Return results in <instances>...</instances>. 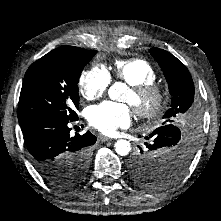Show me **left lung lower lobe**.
I'll use <instances>...</instances> for the list:
<instances>
[{"label": "left lung lower lobe", "mask_w": 221, "mask_h": 221, "mask_svg": "<svg viewBox=\"0 0 221 221\" xmlns=\"http://www.w3.org/2000/svg\"><path fill=\"white\" fill-rule=\"evenodd\" d=\"M161 133H167V134H171L169 133L168 131H162ZM170 139H173V138H170ZM140 161H139V158L137 156V154L133 155L131 157V159L129 160V169L130 170H136L140 167Z\"/></svg>", "instance_id": "obj_1"}]
</instances>
